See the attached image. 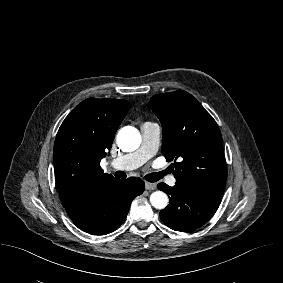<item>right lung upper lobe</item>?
Listing matches in <instances>:
<instances>
[{"label": "right lung upper lobe", "mask_w": 283, "mask_h": 283, "mask_svg": "<svg viewBox=\"0 0 283 283\" xmlns=\"http://www.w3.org/2000/svg\"><path fill=\"white\" fill-rule=\"evenodd\" d=\"M129 110L122 99L89 98L78 104L60 126L54 143V169L63 205L77 215L101 191L117 180L104 173L100 161Z\"/></svg>", "instance_id": "obj_1"}]
</instances>
